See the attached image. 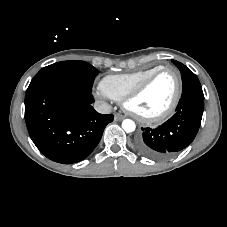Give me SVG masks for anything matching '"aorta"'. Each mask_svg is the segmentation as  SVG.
Wrapping results in <instances>:
<instances>
[{
	"mask_svg": "<svg viewBox=\"0 0 227 227\" xmlns=\"http://www.w3.org/2000/svg\"><path fill=\"white\" fill-rule=\"evenodd\" d=\"M122 128L124 129V131L130 133L135 131L136 125L134 123V121L130 120V119H125L122 122Z\"/></svg>",
	"mask_w": 227,
	"mask_h": 227,
	"instance_id": "762f6f07",
	"label": "aorta"
}]
</instances>
